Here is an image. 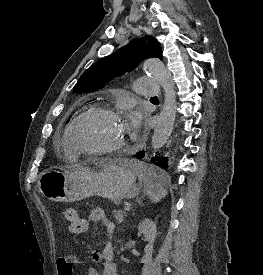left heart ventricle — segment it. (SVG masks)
I'll return each instance as SVG.
<instances>
[{"mask_svg":"<svg viewBox=\"0 0 263 275\" xmlns=\"http://www.w3.org/2000/svg\"><path fill=\"white\" fill-rule=\"evenodd\" d=\"M131 136L130 128L109 115L98 114L85 120L77 132L79 145L90 149H105Z\"/></svg>","mask_w":263,"mask_h":275,"instance_id":"b2bd125f","label":"left heart ventricle"}]
</instances>
